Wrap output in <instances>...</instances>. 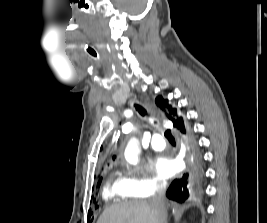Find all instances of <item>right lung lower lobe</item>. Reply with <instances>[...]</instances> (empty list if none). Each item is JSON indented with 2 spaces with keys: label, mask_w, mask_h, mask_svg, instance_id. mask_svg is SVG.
Returning <instances> with one entry per match:
<instances>
[{
  "label": "right lung lower lobe",
  "mask_w": 267,
  "mask_h": 223,
  "mask_svg": "<svg viewBox=\"0 0 267 223\" xmlns=\"http://www.w3.org/2000/svg\"><path fill=\"white\" fill-rule=\"evenodd\" d=\"M180 132L183 135H187L185 127ZM192 156L194 157V160L193 162H190L191 166L189 167V170L185 172L181 177L175 179L169 186L166 192V196L169 199L175 200L177 202H184L189 197V193L191 192L193 186L201 180V162L196 153H194Z\"/></svg>",
  "instance_id": "98d812e1"
}]
</instances>
